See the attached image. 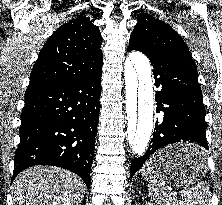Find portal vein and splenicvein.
<instances>
[{
  "label": "portal vein and splenic vein",
  "instance_id": "portal-vein-and-splenic-vein-1",
  "mask_svg": "<svg viewBox=\"0 0 222 205\" xmlns=\"http://www.w3.org/2000/svg\"><path fill=\"white\" fill-rule=\"evenodd\" d=\"M169 192H170L173 196H176V192H175L172 188H169Z\"/></svg>",
  "mask_w": 222,
  "mask_h": 205
}]
</instances>
